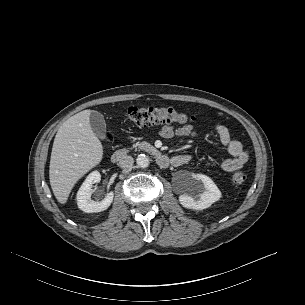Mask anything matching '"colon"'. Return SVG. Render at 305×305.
I'll return each instance as SVG.
<instances>
[{
	"label": "colon",
	"mask_w": 305,
	"mask_h": 305,
	"mask_svg": "<svg viewBox=\"0 0 305 305\" xmlns=\"http://www.w3.org/2000/svg\"><path fill=\"white\" fill-rule=\"evenodd\" d=\"M128 118L137 126H150L155 124H188L195 121L193 116L178 111L174 106H133L128 109ZM246 180L244 173H236L233 176L235 184H241Z\"/></svg>",
	"instance_id": "1"
}]
</instances>
